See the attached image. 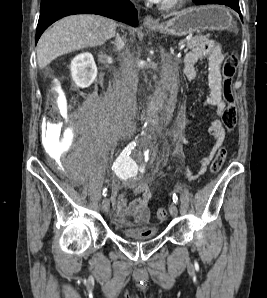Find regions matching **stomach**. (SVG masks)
Instances as JSON below:
<instances>
[{"label": "stomach", "instance_id": "obj_1", "mask_svg": "<svg viewBox=\"0 0 267 298\" xmlns=\"http://www.w3.org/2000/svg\"><path fill=\"white\" fill-rule=\"evenodd\" d=\"M231 25L232 16L226 7L206 5L187 8L169 21L150 29L166 35L185 36L196 31H224Z\"/></svg>", "mask_w": 267, "mask_h": 298}]
</instances>
